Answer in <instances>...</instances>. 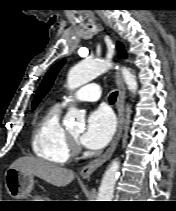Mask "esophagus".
Wrapping results in <instances>:
<instances>
[{
  "instance_id": "esophagus-1",
  "label": "esophagus",
  "mask_w": 176,
  "mask_h": 211,
  "mask_svg": "<svg viewBox=\"0 0 176 211\" xmlns=\"http://www.w3.org/2000/svg\"><path fill=\"white\" fill-rule=\"evenodd\" d=\"M116 83L118 87V97L116 103L118 113L117 131L109 148L101 156L92 160L90 163L82 168V170L80 171V175L84 179H88L97 168H99L112 156L121 139L125 122V86L119 71L116 72Z\"/></svg>"
}]
</instances>
